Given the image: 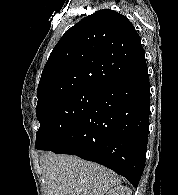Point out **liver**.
Segmentation results:
<instances>
[{
	"mask_svg": "<svg viewBox=\"0 0 178 195\" xmlns=\"http://www.w3.org/2000/svg\"><path fill=\"white\" fill-rule=\"evenodd\" d=\"M40 163L46 195H104L121 183L111 170L76 156L46 153Z\"/></svg>",
	"mask_w": 178,
	"mask_h": 195,
	"instance_id": "obj_1",
	"label": "liver"
}]
</instances>
